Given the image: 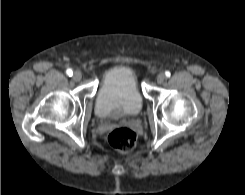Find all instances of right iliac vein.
<instances>
[{"label": "right iliac vein", "mask_w": 245, "mask_h": 195, "mask_svg": "<svg viewBox=\"0 0 245 195\" xmlns=\"http://www.w3.org/2000/svg\"><path fill=\"white\" fill-rule=\"evenodd\" d=\"M81 78H82L81 72L75 71V72L73 73V79H74L75 81H80Z\"/></svg>", "instance_id": "obj_1"}]
</instances>
